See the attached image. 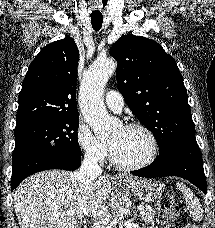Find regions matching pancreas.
I'll return each mask as SVG.
<instances>
[{
  "label": "pancreas",
  "mask_w": 215,
  "mask_h": 228,
  "mask_svg": "<svg viewBox=\"0 0 215 228\" xmlns=\"http://www.w3.org/2000/svg\"><path fill=\"white\" fill-rule=\"evenodd\" d=\"M140 216L143 222H146V224H151V226H154V222H155L154 210H143V212H140Z\"/></svg>",
  "instance_id": "cf45deb5"
}]
</instances>
